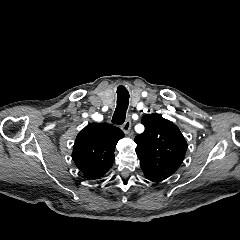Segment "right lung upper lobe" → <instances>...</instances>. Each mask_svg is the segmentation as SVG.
<instances>
[{
    "label": "right lung upper lobe",
    "instance_id": "obj_1",
    "mask_svg": "<svg viewBox=\"0 0 240 240\" xmlns=\"http://www.w3.org/2000/svg\"><path fill=\"white\" fill-rule=\"evenodd\" d=\"M124 137L121 129L107 123L88 124L76 137L72 158L88 179L103 177L114 161V149Z\"/></svg>",
    "mask_w": 240,
    "mask_h": 240
}]
</instances>
